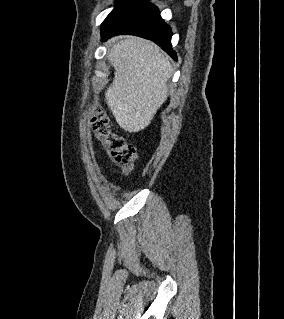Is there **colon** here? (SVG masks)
<instances>
[{"label": "colon", "mask_w": 284, "mask_h": 319, "mask_svg": "<svg viewBox=\"0 0 284 319\" xmlns=\"http://www.w3.org/2000/svg\"><path fill=\"white\" fill-rule=\"evenodd\" d=\"M91 128L96 138L106 148L112 163L123 173L133 169L136 159V148L126 140L111 131L107 117L96 115L90 120Z\"/></svg>", "instance_id": "1"}]
</instances>
